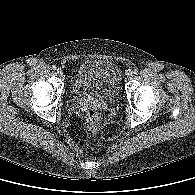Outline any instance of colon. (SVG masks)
<instances>
[{
	"mask_svg": "<svg viewBox=\"0 0 195 195\" xmlns=\"http://www.w3.org/2000/svg\"><path fill=\"white\" fill-rule=\"evenodd\" d=\"M86 120L90 130L95 132L99 129L100 116L98 111L95 108L93 107L88 108L86 112Z\"/></svg>",
	"mask_w": 195,
	"mask_h": 195,
	"instance_id": "colon-1",
	"label": "colon"
}]
</instances>
